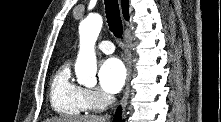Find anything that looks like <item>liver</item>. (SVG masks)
<instances>
[{"label":"liver","instance_id":"obj_1","mask_svg":"<svg viewBox=\"0 0 221 122\" xmlns=\"http://www.w3.org/2000/svg\"><path fill=\"white\" fill-rule=\"evenodd\" d=\"M46 122H107L102 116L89 115L84 117H62L47 119Z\"/></svg>","mask_w":221,"mask_h":122}]
</instances>
